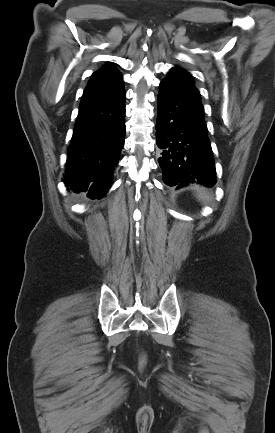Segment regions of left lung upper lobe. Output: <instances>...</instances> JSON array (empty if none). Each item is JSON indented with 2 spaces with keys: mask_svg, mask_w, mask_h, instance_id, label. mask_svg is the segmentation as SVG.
<instances>
[{
  "mask_svg": "<svg viewBox=\"0 0 275 433\" xmlns=\"http://www.w3.org/2000/svg\"><path fill=\"white\" fill-rule=\"evenodd\" d=\"M168 77L178 79V80L183 81V82H187V83L191 84L192 86H194L192 76L187 71H185L184 69H181L179 67L172 68L169 72Z\"/></svg>",
  "mask_w": 275,
  "mask_h": 433,
  "instance_id": "obj_1",
  "label": "left lung upper lobe"
}]
</instances>
